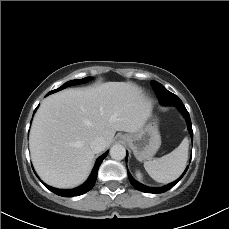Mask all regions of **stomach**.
Here are the masks:
<instances>
[{"label": "stomach", "mask_w": 229, "mask_h": 229, "mask_svg": "<svg viewBox=\"0 0 229 229\" xmlns=\"http://www.w3.org/2000/svg\"><path fill=\"white\" fill-rule=\"evenodd\" d=\"M121 138L139 161L150 160L161 146V136L156 121L145 124L135 133L122 135Z\"/></svg>", "instance_id": "0dacf381"}]
</instances>
